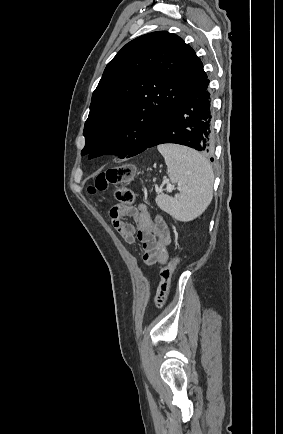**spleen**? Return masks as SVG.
Returning <instances> with one entry per match:
<instances>
[{"instance_id": "3e777b00", "label": "spleen", "mask_w": 283, "mask_h": 434, "mask_svg": "<svg viewBox=\"0 0 283 434\" xmlns=\"http://www.w3.org/2000/svg\"><path fill=\"white\" fill-rule=\"evenodd\" d=\"M172 183L178 184L180 194L172 198L158 195L160 209L179 221L200 216L213 197L214 173L209 161L197 151L180 145H159Z\"/></svg>"}]
</instances>
